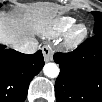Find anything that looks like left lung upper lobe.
<instances>
[{
  "mask_svg": "<svg viewBox=\"0 0 102 102\" xmlns=\"http://www.w3.org/2000/svg\"><path fill=\"white\" fill-rule=\"evenodd\" d=\"M92 14L95 18L94 33H102V13L98 11H93Z\"/></svg>",
  "mask_w": 102,
  "mask_h": 102,
  "instance_id": "1",
  "label": "left lung upper lobe"
}]
</instances>
